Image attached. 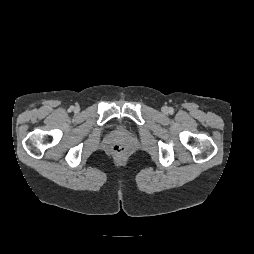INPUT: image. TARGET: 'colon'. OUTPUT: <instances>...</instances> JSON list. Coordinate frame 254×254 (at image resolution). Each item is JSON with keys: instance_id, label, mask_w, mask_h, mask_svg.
Instances as JSON below:
<instances>
[{"instance_id": "colon-1", "label": "colon", "mask_w": 254, "mask_h": 254, "mask_svg": "<svg viewBox=\"0 0 254 254\" xmlns=\"http://www.w3.org/2000/svg\"><path fill=\"white\" fill-rule=\"evenodd\" d=\"M112 153L115 155H123L125 153V149L120 145H114L112 147Z\"/></svg>"}]
</instances>
